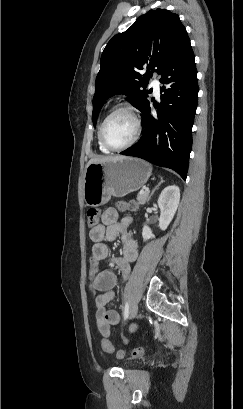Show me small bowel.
<instances>
[{"label":"small bowel","mask_w":243,"mask_h":409,"mask_svg":"<svg viewBox=\"0 0 243 409\" xmlns=\"http://www.w3.org/2000/svg\"><path fill=\"white\" fill-rule=\"evenodd\" d=\"M102 222L90 229L89 237L93 242L91 257V288L99 292L95 298L96 323L102 336L108 337L111 327L119 323V314L115 309H109L116 299V275L109 269L98 270L102 261H110L117 266L124 278L129 275L130 264L137 259L138 246L129 233L131 217L118 220V212L113 208L106 209L101 216ZM121 236L123 240L120 257L111 256L107 242Z\"/></svg>","instance_id":"c3829d8e"}]
</instances>
